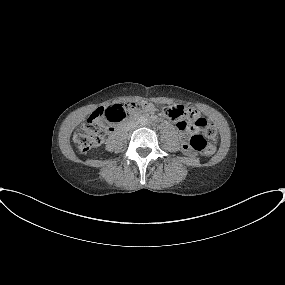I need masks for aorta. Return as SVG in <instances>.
<instances>
[{
	"label": "aorta",
	"instance_id": "aorta-1",
	"mask_svg": "<svg viewBox=\"0 0 285 285\" xmlns=\"http://www.w3.org/2000/svg\"><path fill=\"white\" fill-rule=\"evenodd\" d=\"M140 122H141L142 124H145V123H146V119L142 118V119L140 120Z\"/></svg>",
	"mask_w": 285,
	"mask_h": 285
}]
</instances>
